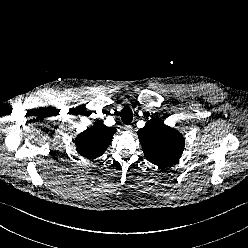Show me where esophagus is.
<instances>
[{
	"mask_svg": "<svg viewBox=\"0 0 248 248\" xmlns=\"http://www.w3.org/2000/svg\"><path fill=\"white\" fill-rule=\"evenodd\" d=\"M123 129L126 133H132L133 132V127L131 125H126L123 127Z\"/></svg>",
	"mask_w": 248,
	"mask_h": 248,
	"instance_id": "34e87169",
	"label": "esophagus"
}]
</instances>
